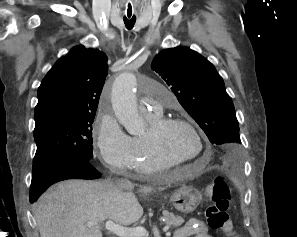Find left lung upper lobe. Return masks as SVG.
<instances>
[{
  "instance_id": "obj_1",
  "label": "left lung upper lobe",
  "mask_w": 297,
  "mask_h": 237,
  "mask_svg": "<svg viewBox=\"0 0 297 237\" xmlns=\"http://www.w3.org/2000/svg\"><path fill=\"white\" fill-rule=\"evenodd\" d=\"M151 67L218 147L223 159H238L239 123L224 81L212 63L190 48L175 47L157 54Z\"/></svg>"
}]
</instances>
